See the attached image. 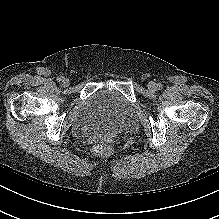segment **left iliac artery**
I'll return each mask as SVG.
<instances>
[{"mask_svg":"<svg viewBox=\"0 0 219 219\" xmlns=\"http://www.w3.org/2000/svg\"><path fill=\"white\" fill-rule=\"evenodd\" d=\"M162 88H163L162 84H161V83H158V84H157V89H158V90H161Z\"/></svg>","mask_w":219,"mask_h":219,"instance_id":"obj_1","label":"left iliac artery"}]
</instances>
